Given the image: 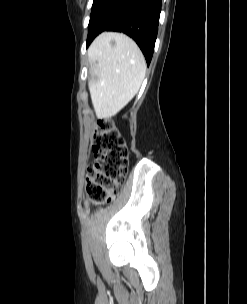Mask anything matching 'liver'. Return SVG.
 <instances>
[{
    "instance_id": "liver-1",
    "label": "liver",
    "mask_w": 247,
    "mask_h": 304,
    "mask_svg": "<svg viewBox=\"0 0 247 304\" xmlns=\"http://www.w3.org/2000/svg\"><path fill=\"white\" fill-rule=\"evenodd\" d=\"M88 59L94 111L98 118H110L137 94L146 72L144 56L128 36L104 32L90 45Z\"/></svg>"
}]
</instances>
